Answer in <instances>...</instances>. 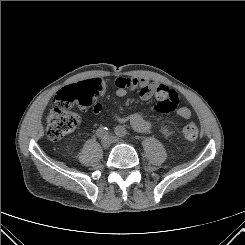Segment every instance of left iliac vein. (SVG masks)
Here are the masks:
<instances>
[{"mask_svg":"<svg viewBox=\"0 0 245 245\" xmlns=\"http://www.w3.org/2000/svg\"><path fill=\"white\" fill-rule=\"evenodd\" d=\"M109 139L111 141V143H121L124 142L122 139L115 137V136H109Z\"/></svg>","mask_w":245,"mask_h":245,"instance_id":"4c4485c4","label":"left iliac vein"}]
</instances>
